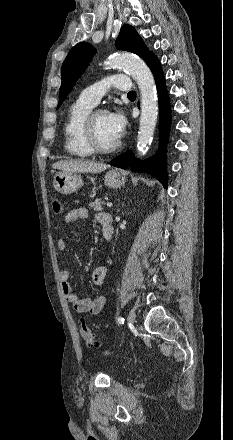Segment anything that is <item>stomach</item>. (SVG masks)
I'll list each match as a JSON object with an SVG mask.
<instances>
[{"label": "stomach", "mask_w": 233, "mask_h": 440, "mask_svg": "<svg viewBox=\"0 0 233 440\" xmlns=\"http://www.w3.org/2000/svg\"><path fill=\"white\" fill-rule=\"evenodd\" d=\"M126 182L125 176L118 170H110L104 177V183L109 188H120ZM83 185L81 175L77 173L58 172L53 178L54 189L61 194H70Z\"/></svg>", "instance_id": "1"}]
</instances>
